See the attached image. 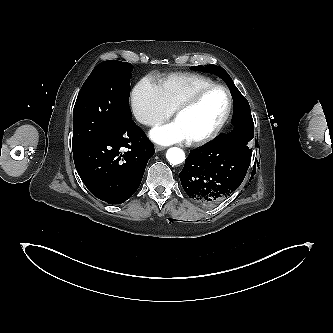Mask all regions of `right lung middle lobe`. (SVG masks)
<instances>
[{
	"label": "right lung middle lobe",
	"instance_id": "dd1d6c3e",
	"mask_svg": "<svg viewBox=\"0 0 333 333\" xmlns=\"http://www.w3.org/2000/svg\"><path fill=\"white\" fill-rule=\"evenodd\" d=\"M133 65L117 60L97 65L80 89L73 110L72 150L77 151L131 118Z\"/></svg>",
	"mask_w": 333,
	"mask_h": 333
}]
</instances>
